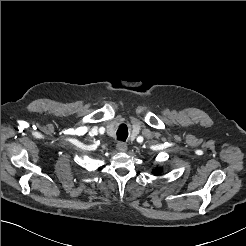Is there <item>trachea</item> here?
Masks as SVG:
<instances>
[{
    "label": "trachea",
    "mask_w": 246,
    "mask_h": 246,
    "mask_svg": "<svg viewBox=\"0 0 246 246\" xmlns=\"http://www.w3.org/2000/svg\"><path fill=\"white\" fill-rule=\"evenodd\" d=\"M128 137V130L125 125H122L118 130H117V139L120 141H126Z\"/></svg>",
    "instance_id": "1"
}]
</instances>
